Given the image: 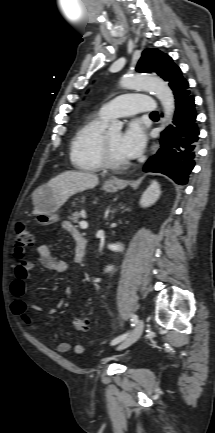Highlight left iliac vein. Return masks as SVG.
Wrapping results in <instances>:
<instances>
[{
	"label": "left iliac vein",
	"instance_id": "4c4485c4",
	"mask_svg": "<svg viewBox=\"0 0 215 433\" xmlns=\"http://www.w3.org/2000/svg\"><path fill=\"white\" fill-rule=\"evenodd\" d=\"M143 328L144 322L140 319L130 335L118 346L117 350H123L135 343L140 338Z\"/></svg>",
	"mask_w": 215,
	"mask_h": 433
}]
</instances>
